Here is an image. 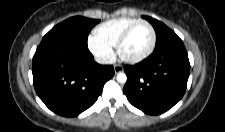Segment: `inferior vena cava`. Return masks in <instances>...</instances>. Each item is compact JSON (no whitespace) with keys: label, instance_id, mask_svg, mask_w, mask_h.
Returning a JSON list of instances; mask_svg holds the SVG:
<instances>
[{"label":"inferior vena cava","instance_id":"1","mask_svg":"<svg viewBox=\"0 0 225 132\" xmlns=\"http://www.w3.org/2000/svg\"><path fill=\"white\" fill-rule=\"evenodd\" d=\"M115 61H116L115 57H110V58L98 57V58H96V62L99 64H113Z\"/></svg>","mask_w":225,"mask_h":132}]
</instances>
